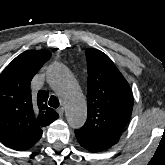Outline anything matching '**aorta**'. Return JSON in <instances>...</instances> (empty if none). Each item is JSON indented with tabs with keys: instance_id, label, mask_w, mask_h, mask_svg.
<instances>
[{
	"instance_id": "762f6f07",
	"label": "aorta",
	"mask_w": 165,
	"mask_h": 165,
	"mask_svg": "<svg viewBox=\"0 0 165 165\" xmlns=\"http://www.w3.org/2000/svg\"><path fill=\"white\" fill-rule=\"evenodd\" d=\"M47 80L61 94L70 127H82L87 118L86 101L70 72L61 64L53 65L48 70Z\"/></svg>"
}]
</instances>
